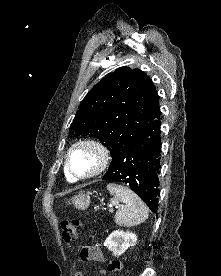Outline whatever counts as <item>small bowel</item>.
<instances>
[{
  "label": "small bowel",
  "instance_id": "small-bowel-1",
  "mask_svg": "<svg viewBox=\"0 0 221 276\" xmlns=\"http://www.w3.org/2000/svg\"><path fill=\"white\" fill-rule=\"evenodd\" d=\"M80 258L82 261H104L101 250L96 246H84L81 249ZM101 274L107 275V272L102 270ZM74 276H83V274L79 270L75 269Z\"/></svg>",
  "mask_w": 221,
  "mask_h": 276
}]
</instances>
